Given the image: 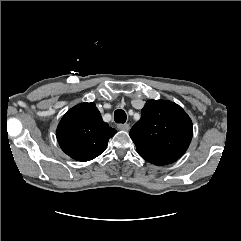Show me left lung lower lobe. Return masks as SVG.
I'll use <instances>...</instances> for the list:
<instances>
[{
	"label": "left lung lower lobe",
	"instance_id": "obj_1",
	"mask_svg": "<svg viewBox=\"0 0 241 241\" xmlns=\"http://www.w3.org/2000/svg\"><path fill=\"white\" fill-rule=\"evenodd\" d=\"M139 155L144 158L146 161L155 164V165H167L177 161V158L172 157H165V156H153L149 154H142Z\"/></svg>",
	"mask_w": 241,
	"mask_h": 241
}]
</instances>
